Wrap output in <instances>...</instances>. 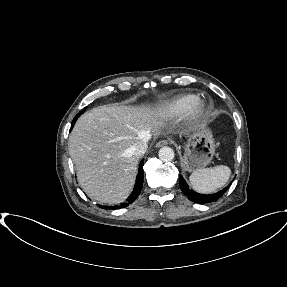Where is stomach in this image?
Returning a JSON list of instances; mask_svg holds the SVG:
<instances>
[{
    "instance_id": "stomach-1",
    "label": "stomach",
    "mask_w": 287,
    "mask_h": 287,
    "mask_svg": "<svg viewBox=\"0 0 287 287\" xmlns=\"http://www.w3.org/2000/svg\"><path fill=\"white\" fill-rule=\"evenodd\" d=\"M212 133L206 127L199 128L184 144L183 166L187 171L206 167L215 154Z\"/></svg>"
}]
</instances>
